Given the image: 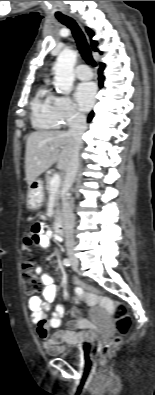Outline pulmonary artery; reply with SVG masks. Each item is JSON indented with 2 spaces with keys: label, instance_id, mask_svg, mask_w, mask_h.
Returning a JSON list of instances; mask_svg holds the SVG:
<instances>
[{
  "label": "pulmonary artery",
  "instance_id": "e3ab8cb5",
  "mask_svg": "<svg viewBox=\"0 0 155 395\" xmlns=\"http://www.w3.org/2000/svg\"><path fill=\"white\" fill-rule=\"evenodd\" d=\"M76 76L81 80H89L92 78V71L91 69L85 65L80 64L75 69Z\"/></svg>",
  "mask_w": 155,
  "mask_h": 395
}]
</instances>
